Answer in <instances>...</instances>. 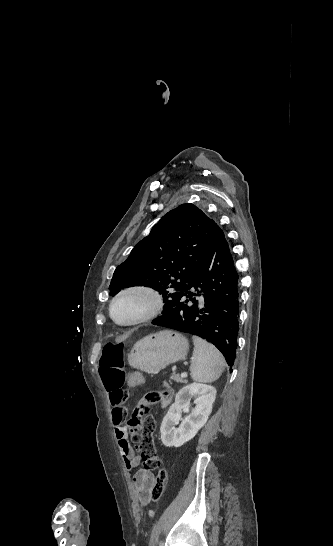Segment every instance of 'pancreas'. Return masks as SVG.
<instances>
[{
    "label": "pancreas",
    "mask_w": 333,
    "mask_h": 546,
    "mask_svg": "<svg viewBox=\"0 0 333 546\" xmlns=\"http://www.w3.org/2000/svg\"><path fill=\"white\" fill-rule=\"evenodd\" d=\"M171 379L174 380L175 382H180V383L187 382V380L184 377H180L179 374H175V373L172 374Z\"/></svg>",
    "instance_id": "cf45deb5"
}]
</instances>
